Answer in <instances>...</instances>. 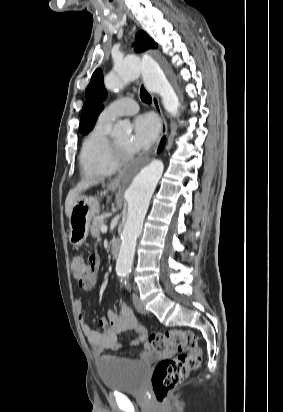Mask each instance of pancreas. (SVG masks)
Segmentation results:
<instances>
[{"mask_svg": "<svg viewBox=\"0 0 283 412\" xmlns=\"http://www.w3.org/2000/svg\"><path fill=\"white\" fill-rule=\"evenodd\" d=\"M103 225H105L104 219L96 218L92 221V225L90 227L92 237L98 238L100 236V229Z\"/></svg>", "mask_w": 283, "mask_h": 412, "instance_id": "cf45deb5", "label": "pancreas"}]
</instances>
